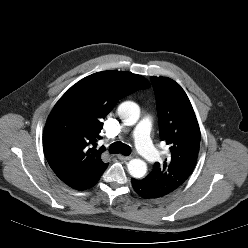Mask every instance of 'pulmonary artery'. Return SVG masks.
Returning a JSON list of instances; mask_svg holds the SVG:
<instances>
[{"label": "pulmonary artery", "instance_id": "pulmonary-artery-1", "mask_svg": "<svg viewBox=\"0 0 248 248\" xmlns=\"http://www.w3.org/2000/svg\"><path fill=\"white\" fill-rule=\"evenodd\" d=\"M150 130V118L148 116H145L136 125L133 135L139 153L147 160L153 161L159 157V153L151 143Z\"/></svg>", "mask_w": 248, "mask_h": 248}]
</instances>
